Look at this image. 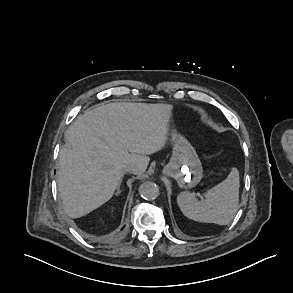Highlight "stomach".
Masks as SVG:
<instances>
[{"mask_svg": "<svg viewBox=\"0 0 293 293\" xmlns=\"http://www.w3.org/2000/svg\"><path fill=\"white\" fill-rule=\"evenodd\" d=\"M173 152L163 173L174 178L179 187L187 189L196 186L203 176L201 161L191 143L179 132H171Z\"/></svg>", "mask_w": 293, "mask_h": 293, "instance_id": "1", "label": "stomach"}]
</instances>
